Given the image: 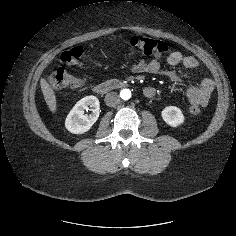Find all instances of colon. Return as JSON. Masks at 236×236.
<instances>
[{
	"label": "colon",
	"instance_id": "5ec220e1",
	"mask_svg": "<svg viewBox=\"0 0 236 236\" xmlns=\"http://www.w3.org/2000/svg\"><path fill=\"white\" fill-rule=\"evenodd\" d=\"M130 45L135 50L154 57H161L168 51V46L164 42L146 37L133 36L130 39ZM83 57V48L74 47L64 51L61 54L60 60L64 64L76 66L81 63ZM47 81L53 89H63L81 86L84 83V78L76 77L68 73L64 68H57L49 73ZM190 111L193 114H198L200 108L197 106H191Z\"/></svg>",
	"mask_w": 236,
	"mask_h": 236
}]
</instances>
